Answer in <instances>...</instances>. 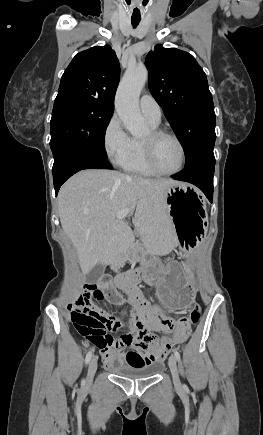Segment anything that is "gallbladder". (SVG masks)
I'll list each match as a JSON object with an SVG mask.
<instances>
[{"mask_svg":"<svg viewBox=\"0 0 263 435\" xmlns=\"http://www.w3.org/2000/svg\"><path fill=\"white\" fill-rule=\"evenodd\" d=\"M104 273V265L98 263L94 268L86 275L85 281L87 283H96Z\"/></svg>","mask_w":263,"mask_h":435,"instance_id":"gallbladder-1","label":"gallbladder"}]
</instances>
